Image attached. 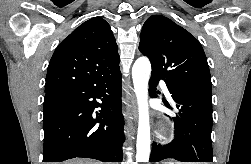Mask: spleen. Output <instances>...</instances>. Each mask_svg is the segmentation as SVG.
Instances as JSON below:
<instances>
[{
	"mask_svg": "<svg viewBox=\"0 0 251 164\" xmlns=\"http://www.w3.org/2000/svg\"><path fill=\"white\" fill-rule=\"evenodd\" d=\"M165 164H175L173 162H168V163H165ZM177 164H182V163H177Z\"/></svg>",
	"mask_w": 251,
	"mask_h": 164,
	"instance_id": "1",
	"label": "spleen"
}]
</instances>
